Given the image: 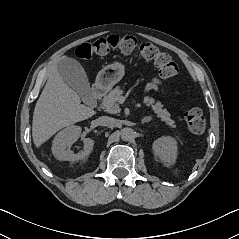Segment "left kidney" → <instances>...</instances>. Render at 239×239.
I'll return each instance as SVG.
<instances>
[{
  "label": "left kidney",
  "instance_id": "5707ae66",
  "mask_svg": "<svg viewBox=\"0 0 239 239\" xmlns=\"http://www.w3.org/2000/svg\"><path fill=\"white\" fill-rule=\"evenodd\" d=\"M155 154L168 165H173L177 158V141L171 136L156 139L152 146Z\"/></svg>",
  "mask_w": 239,
  "mask_h": 239
}]
</instances>
